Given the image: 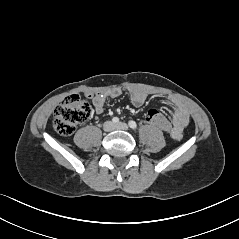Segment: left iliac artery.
I'll return each mask as SVG.
<instances>
[{
	"instance_id": "1",
	"label": "left iliac artery",
	"mask_w": 239,
	"mask_h": 239,
	"mask_svg": "<svg viewBox=\"0 0 239 239\" xmlns=\"http://www.w3.org/2000/svg\"><path fill=\"white\" fill-rule=\"evenodd\" d=\"M129 127L132 128V129H136L137 128V124L135 121L131 120L129 121Z\"/></svg>"
}]
</instances>
